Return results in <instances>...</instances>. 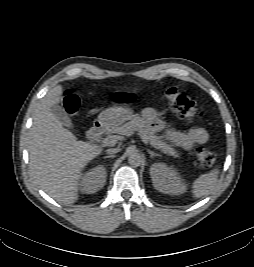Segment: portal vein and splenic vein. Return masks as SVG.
<instances>
[{"label":"portal vein and splenic vein","instance_id":"18ae733b","mask_svg":"<svg viewBox=\"0 0 254 267\" xmlns=\"http://www.w3.org/2000/svg\"><path fill=\"white\" fill-rule=\"evenodd\" d=\"M118 138H119V137H117V136H110V137L105 138V139L103 140V143H104L105 145H107V146H114V145L117 143V139H118ZM141 139H142V141H143L144 143H147L145 138H142V137H141Z\"/></svg>","mask_w":254,"mask_h":267}]
</instances>
